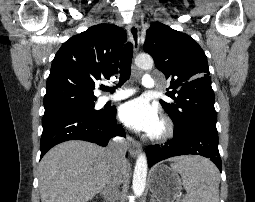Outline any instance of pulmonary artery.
Segmentation results:
<instances>
[{"label":"pulmonary artery","instance_id":"1","mask_svg":"<svg viewBox=\"0 0 255 202\" xmlns=\"http://www.w3.org/2000/svg\"><path fill=\"white\" fill-rule=\"evenodd\" d=\"M142 84L145 88L147 89H153L155 87V81L154 79L148 75L145 74L142 78ZM133 94L132 90H120L117 93H115L114 95L110 96V97H105L103 99V103H106L108 101H118V100H122L125 99L129 96H131Z\"/></svg>","mask_w":255,"mask_h":202}]
</instances>
